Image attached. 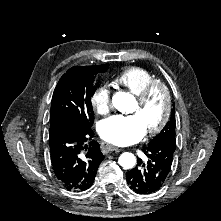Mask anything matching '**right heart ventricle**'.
I'll list each match as a JSON object with an SVG mask.
<instances>
[{
	"mask_svg": "<svg viewBox=\"0 0 221 221\" xmlns=\"http://www.w3.org/2000/svg\"><path fill=\"white\" fill-rule=\"evenodd\" d=\"M156 80L158 79L154 73L139 66L127 67L113 77L114 83L126 88L135 96H139L150 83Z\"/></svg>",
	"mask_w": 221,
	"mask_h": 221,
	"instance_id": "right-heart-ventricle-1",
	"label": "right heart ventricle"
}]
</instances>
